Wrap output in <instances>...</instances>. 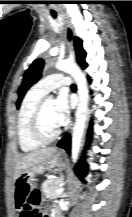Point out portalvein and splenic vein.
I'll list each match as a JSON object with an SVG mask.
<instances>
[{
  "label": "portal vein and splenic vein",
  "instance_id": "portal-vein-and-splenic-vein-1",
  "mask_svg": "<svg viewBox=\"0 0 132 217\" xmlns=\"http://www.w3.org/2000/svg\"><path fill=\"white\" fill-rule=\"evenodd\" d=\"M63 191H64V188L62 187V185L60 186V188L56 190L57 193H62Z\"/></svg>",
  "mask_w": 132,
  "mask_h": 217
}]
</instances>
